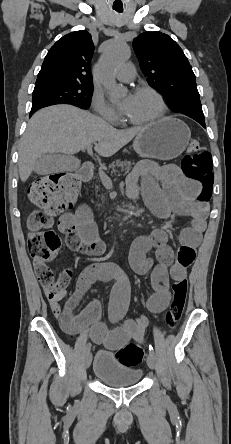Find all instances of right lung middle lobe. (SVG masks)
I'll return each instance as SVG.
<instances>
[{
	"instance_id": "obj_1",
	"label": "right lung middle lobe",
	"mask_w": 231,
	"mask_h": 444,
	"mask_svg": "<svg viewBox=\"0 0 231 444\" xmlns=\"http://www.w3.org/2000/svg\"><path fill=\"white\" fill-rule=\"evenodd\" d=\"M92 92L93 85L54 83L35 86L31 111L62 103L87 109Z\"/></svg>"
}]
</instances>
